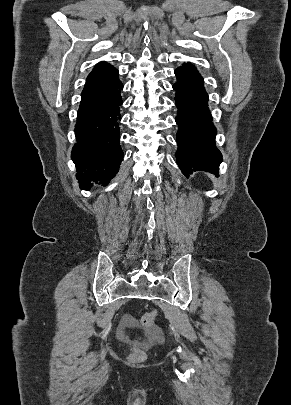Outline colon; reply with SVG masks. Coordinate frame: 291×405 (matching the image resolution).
Segmentation results:
<instances>
[{
  "mask_svg": "<svg viewBox=\"0 0 291 405\" xmlns=\"http://www.w3.org/2000/svg\"><path fill=\"white\" fill-rule=\"evenodd\" d=\"M156 315L157 314L155 311H151V312L144 314L140 320L141 325L146 329L152 328L155 324ZM145 358H146V355H145L144 351L141 350L140 348H138L137 346H134L130 359L133 362H140V361H143Z\"/></svg>",
  "mask_w": 291,
  "mask_h": 405,
  "instance_id": "5ec220e1",
  "label": "colon"
}]
</instances>
